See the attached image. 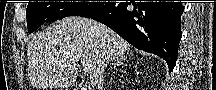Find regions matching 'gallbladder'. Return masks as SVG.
I'll use <instances>...</instances> for the list:
<instances>
[{
  "mask_svg": "<svg viewBox=\"0 0 216 90\" xmlns=\"http://www.w3.org/2000/svg\"><path fill=\"white\" fill-rule=\"evenodd\" d=\"M81 90H84V86H81Z\"/></svg>",
  "mask_w": 216,
  "mask_h": 90,
  "instance_id": "1",
  "label": "gallbladder"
}]
</instances>
